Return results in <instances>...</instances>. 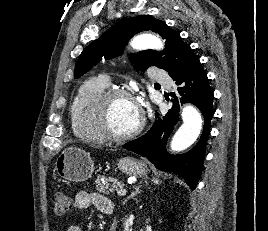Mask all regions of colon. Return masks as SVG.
I'll list each match as a JSON object with an SVG mask.
<instances>
[{"instance_id":"obj_1","label":"colon","mask_w":268,"mask_h":231,"mask_svg":"<svg viewBox=\"0 0 268 231\" xmlns=\"http://www.w3.org/2000/svg\"><path fill=\"white\" fill-rule=\"evenodd\" d=\"M53 205L55 213L63 215L70 209V198L63 192H56L53 196Z\"/></svg>"}]
</instances>
